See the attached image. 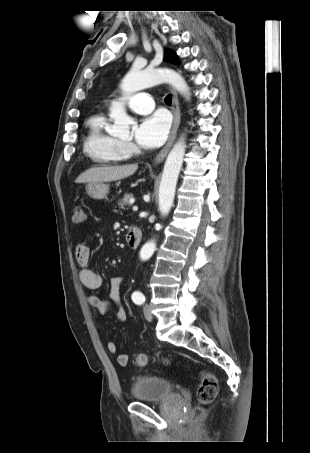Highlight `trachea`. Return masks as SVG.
Listing matches in <instances>:
<instances>
[{
	"label": "trachea",
	"mask_w": 310,
	"mask_h": 453,
	"mask_svg": "<svg viewBox=\"0 0 310 453\" xmlns=\"http://www.w3.org/2000/svg\"><path fill=\"white\" fill-rule=\"evenodd\" d=\"M165 103L170 105L171 102H172V96L171 95H167L164 99Z\"/></svg>",
	"instance_id": "obj_1"
}]
</instances>
